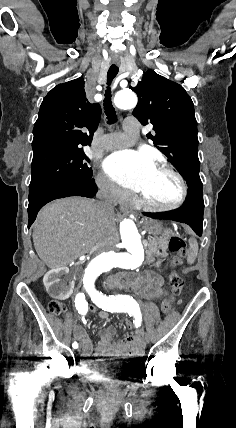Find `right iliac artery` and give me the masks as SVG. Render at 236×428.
Instances as JSON below:
<instances>
[{"instance_id":"obj_1","label":"right iliac artery","mask_w":236,"mask_h":428,"mask_svg":"<svg viewBox=\"0 0 236 428\" xmlns=\"http://www.w3.org/2000/svg\"><path fill=\"white\" fill-rule=\"evenodd\" d=\"M75 306H76V309L78 310V313H79V314L85 315V314L87 313V311H88V303H87V302H86V300H85V295H84V293H78V294L76 295V298H75ZM72 347H73L74 349H77V348H78V343H77V342H74V343L72 344Z\"/></svg>"}]
</instances>
